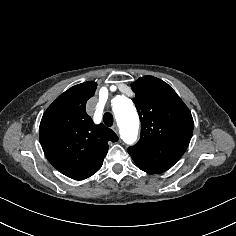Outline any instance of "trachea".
<instances>
[{
	"instance_id": "obj_1",
	"label": "trachea",
	"mask_w": 236,
	"mask_h": 236,
	"mask_svg": "<svg viewBox=\"0 0 236 236\" xmlns=\"http://www.w3.org/2000/svg\"><path fill=\"white\" fill-rule=\"evenodd\" d=\"M103 121L107 127H111L113 125V115L109 112H106L103 115Z\"/></svg>"
}]
</instances>
